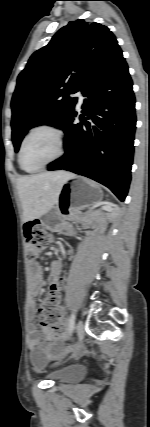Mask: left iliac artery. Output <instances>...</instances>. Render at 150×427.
I'll return each instance as SVG.
<instances>
[{"label":"left iliac artery","mask_w":150,"mask_h":427,"mask_svg":"<svg viewBox=\"0 0 150 427\" xmlns=\"http://www.w3.org/2000/svg\"><path fill=\"white\" fill-rule=\"evenodd\" d=\"M75 314L74 313H72L71 314V316H70V318H69V322H68V325H69V331L70 332H72L73 331V329H74V325H75Z\"/></svg>","instance_id":"1"}]
</instances>
